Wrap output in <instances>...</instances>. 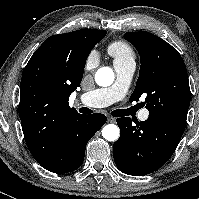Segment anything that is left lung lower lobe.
I'll return each instance as SVG.
<instances>
[{
    "label": "left lung lower lobe",
    "instance_id": "0a47b994",
    "mask_svg": "<svg viewBox=\"0 0 199 199\" xmlns=\"http://www.w3.org/2000/svg\"><path fill=\"white\" fill-rule=\"evenodd\" d=\"M121 135L113 145L117 168L125 174L144 176L157 171L174 153L185 125L161 116L132 124L129 117L118 118Z\"/></svg>",
    "mask_w": 199,
    "mask_h": 199
}]
</instances>
